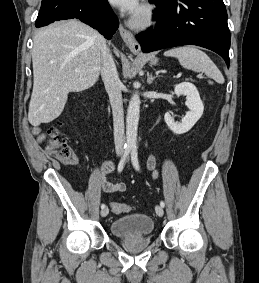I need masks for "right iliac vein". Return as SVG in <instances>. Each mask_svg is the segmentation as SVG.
<instances>
[{
  "label": "right iliac vein",
  "instance_id": "63e3f726",
  "mask_svg": "<svg viewBox=\"0 0 259 283\" xmlns=\"http://www.w3.org/2000/svg\"><path fill=\"white\" fill-rule=\"evenodd\" d=\"M109 213L108 207H105L104 209L101 210V216L106 217Z\"/></svg>",
  "mask_w": 259,
  "mask_h": 283
}]
</instances>
